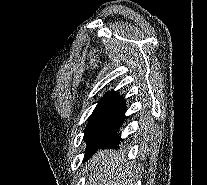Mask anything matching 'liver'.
<instances>
[{
	"label": "liver",
	"mask_w": 207,
	"mask_h": 185,
	"mask_svg": "<svg viewBox=\"0 0 207 185\" xmlns=\"http://www.w3.org/2000/svg\"><path fill=\"white\" fill-rule=\"evenodd\" d=\"M127 153L105 149L90 163L86 185H135V163H128Z\"/></svg>",
	"instance_id": "liver-1"
}]
</instances>
